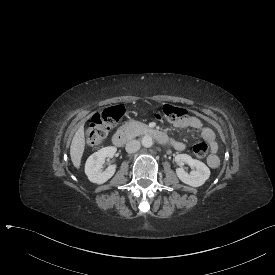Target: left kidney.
<instances>
[{
    "instance_id": "left-kidney-1",
    "label": "left kidney",
    "mask_w": 275,
    "mask_h": 275,
    "mask_svg": "<svg viewBox=\"0 0 275 275\" xmlns=\"http://www.w3.org/2000/svg\"><path fill=\"white\" fill-rule=\"evenodd\" d=\"M175 162L182 166L185 163L196 168L188 174L183 168H177L176 174L179 179L192 187H199L205 183L210 176L209 168L201 161L193 159L187 154H178L175 156Z\"/></svg>"
}]
</instances>
